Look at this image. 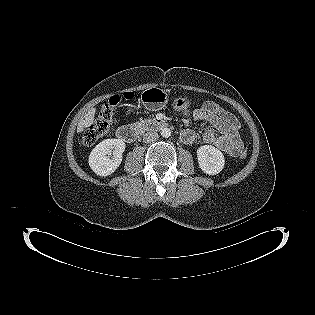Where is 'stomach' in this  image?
Returning <instances> with one entry per match:
<instances>
[{
    "label": "stomach",
    "instance_id": "0dacf381",
    "mask_svg": "<svg viewBox=\"0 0 315 315\" xmlns=\"http://www.w3.org/2000/svg\"><path fill=\"white\" fill-rule=\"evenodd\" d=\"M141 100L146 108L156 111L162 109L167 104L168 95L162 89L151 88L142 92Z\"/></svg>",
    "mask_w": 315,
    "mask_h": 315
}]
</instances>
